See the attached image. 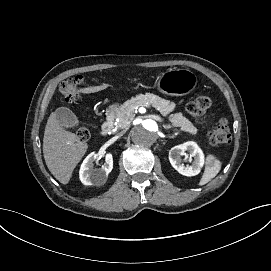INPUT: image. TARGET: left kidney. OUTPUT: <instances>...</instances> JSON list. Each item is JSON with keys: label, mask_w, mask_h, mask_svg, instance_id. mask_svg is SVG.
<instances>
[{"label": "left kidney", "mask_w": 271, "mask_h": 271, "mask_svg": "<svg viewBox=\"0 0 271 271\" xmlns=\"http://www.w3.org/2000/svg\"><path fill=\"white\" fill-rule=\"evenodd\" d=\"M181 157H184V161L190 157L189 161L192 164L185 166L181 163ZM169 161L179 174L186 177H192L199 173L200 167L203 164V155L196 143L186 142L173 147L169 151Z\"/></svg>", "instance_id": "obj_1"}]
</instances>
